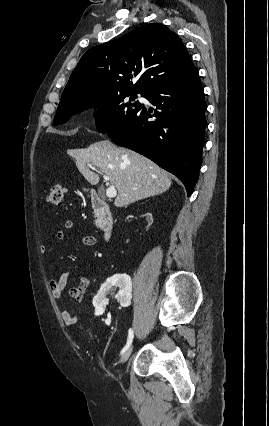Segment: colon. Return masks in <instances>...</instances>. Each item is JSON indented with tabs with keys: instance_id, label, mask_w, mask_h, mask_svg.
<instances>
[{
	"instance_id": "colon-1",
	"label": "colon",
	"mask_w": 269,
	"mask_h": 426,
	"mask_svg": "<svg viewBox=\"0 0 269 426\" xmlns=\"http://www.w3.org/2000/svg\"><path fill=\"white\" fill-rule=\"evenodd\" d=\"M65 201V189L61 183H55L50 188L48 194V202L58 208H62L64 206Z\"/></svg>"
}]
</instances>
